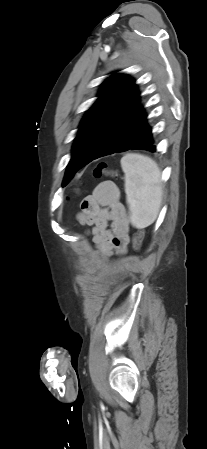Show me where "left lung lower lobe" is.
I'll return each mask as SVG.
<instances>
[{
    "label": "left lung lower lobe",
    "instance_id": "left-lung-lower-lobe-1",
    "mask_svg": "<svg viewBox=\"0 0 207 449\" xmlns=\"http://www.w3.org/2000/svg\"><path fill=\"white\" fill-rule=\"evenodd\" d=\"M130 149L156 151L144 108L139 105L109 133L94 159Z\"/></svg>",
    "mask_w": 207,
    "mask_h": 449
}]
</instances>
